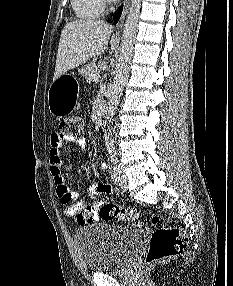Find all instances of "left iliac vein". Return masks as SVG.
<instances>
[{"label": "left iliac vein", "mask_w": 233, "mask_h": 286, "mask_svg": "<svg viewBox=\"0 0 233 286\" xmlns=\"http://www.w3.org/2000/svg\"><path fill=\"white\" fill-rule=\"evenodd\" d=\"M113 174L118 186L126 191L128 189V178L120 167L114 166Z\"/></svg>", "instance_id": "1"}]
</instances>
